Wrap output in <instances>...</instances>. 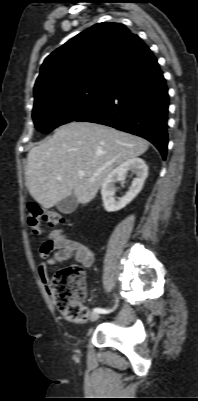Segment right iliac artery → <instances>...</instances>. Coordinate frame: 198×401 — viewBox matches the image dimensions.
<instances>
[{
	"label": "right iliac artery",
	"instance_id": "82829eb1",
	"mask_svg": "<svg viewBox=\"0 0 198 401\" xmlns=\"http://www.w3.org/2000/svg\"><path fill=\"white\" fill-rule=\"evenodd\" d=\"M114 308H115V307H114ZM114 308H113V309H114ZM113 309L94 308L93 311H94V312H97V313H104V314H106V313L111 312Z\"/></svg>",
	"mask_w": 198,
	"mask_h": 401
}]
</instances>
